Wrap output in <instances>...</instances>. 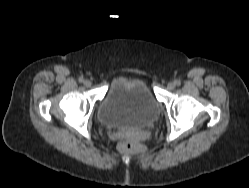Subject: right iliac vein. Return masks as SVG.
Listing matches in <instances>:
<instances>
[{
  "mask_svg": "<svg viewBox=\"0 0 249 188\" xmlns=\"http://www.w3.org/2000/svg\"><path fill=\"white\" fill-rule=\"evenodd\" d=\"M91 81L90 80H85L84 81V85L86 86V87H90L91 86Z\"/></svg>",
  "mask_w": 249,
  "mask_h": 188,
  "instance_id": "obj_1",
  "label": "right iliac vein"
}]
</instances>
